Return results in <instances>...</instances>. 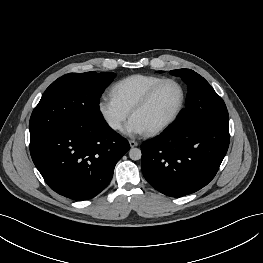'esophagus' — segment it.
I'll return each instance as SVG.
<instances>
[{
    "instance_id": "34e87169",
    "label": "esophagus",
    "mask_w": 263,
    "mask_h": 263,
    "mask_svg": "<svg viewBox=\"0 0 263 263\" xmlns=\"http://www.w3.org/2000/svg\"><path fill=\"white\" fill-rule=\"evenodd\" d=\"M129 144H130V147L132 148L138 146V142L135 140H129Z\"/></svg>"
}]
</instances>
